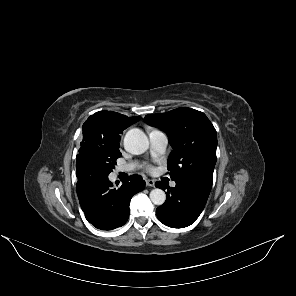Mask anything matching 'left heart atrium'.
<instances>
[{"label":"left heart atrium","instance_id":"left-heart-atrium-1","mask_svg":"<svg viewBox=\"0 0 296 296\" xmlns=\"http://www.w3.org/2000/svg\"><path fill=\"white\" fill-rule=\"evenodd\" d=\"M147 170L151 172L153 169L151 166H147Z\"/></svg>","mask_w":296,"mask_h":296}]
</instances>
